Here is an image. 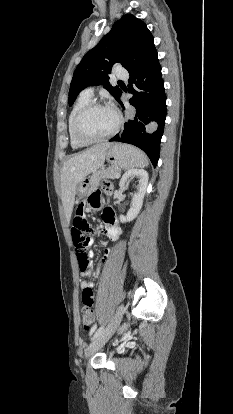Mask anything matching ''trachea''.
Returning <instances> with one entry per match:
<instances>
[{
  "instance_id": "trachea-1",
  "label": "trachea",
  "mask_w": 233,
  "mask_h": 414,
  "mask_svg": "<svg viewBox=\"0 0 233 414\" xmlns=\"http://www.w3.org/2000/svg\"><path fill=\"white\" fill-rule=\"evenodd\" d=\"M118 83H123V81L119 80Z\"/></svg>"
}]
</instances>
